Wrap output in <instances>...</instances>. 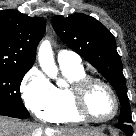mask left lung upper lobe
<instances>
[{
    "mask_svg": "<svg viewBox=\"0 0 136 136\" xmlns=\"http://www.w3.org/2000/svg\"><path fill=\"white\" fill-rule=\"evenodd\" d=\"M52 23L61 40L91 63L113 86L121 104L119 123H131L125 77L114 36L99 21L85 14L67 18L55 16Z\"/></svg>",
    "mask_w": 136,
    "mask_h": 136,
    "instance_id": "1",
    "label": "left lung upper lobe"
}]
</instances>
